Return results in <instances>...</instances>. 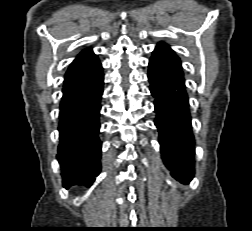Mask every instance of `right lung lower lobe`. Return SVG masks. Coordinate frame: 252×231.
Masks as SVG:
<instances>
[{"instance_id": "1", "label": "right lung lower lobe", "mask_w": 252, "mask_h": 231, "mask_svg": "<svg viewBox=\"0 0 252 231\" xmlns=\"http://www.w3.org/2000/svg\"><path fill=\"white\" fill-rule=\"evenodd\" d=\"M104 76L63 90L60 104V143L58 160L62 169L63 186H90L100 173L102 143L99 111Z\"/></svg>"}]
</instances>
